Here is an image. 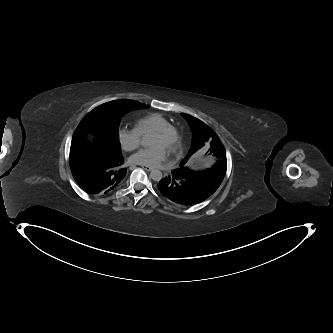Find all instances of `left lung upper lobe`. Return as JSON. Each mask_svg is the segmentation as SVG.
<instances>
[{"mask_svg": "<svg viewBox=\"0 0 333 333\" xmlns=\"http://www.w3.org/2000/svg\"><path fill=\"white\" fill-rule=\"evenodd\" d=\"M182 115L188 121L192 129L193 141L190 151L188 152L183 162L180 164V167L175 169V171L182 176L196 180L197 182L205 185L212 192H215L220 186L227 168L226 155L223 145L216 133L205 123L188 114L182 113ZM204 145H208L210 147L212 145H216L219 149L218 153H213L217 159L214 165L207 169L196 171L185 167L184 164L187 162L189 157Z\"/></svg>", "mask_w": 333, "mask_h": 333, "instance_id": "left-lung-upper-lobe-1", "label": "left lung upper lobe"}]
</instances>
